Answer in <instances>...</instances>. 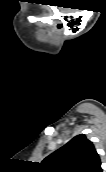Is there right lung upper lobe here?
<instances>
[{"mask_svg":"<svg viewBox=\"0 0 106 172\" xmlns=\"http://www.w3.org/2000/svg\"><path fill=\"white\" fill-rule=\"evenodd\" d=\"M41 169L45 172H103L100 157L84 134L46 157Z\"/></svg>","mask_w":106,"mask_h":172,"instance_id":"right-lung-upper-lobe-1","label":"right lung upper lobe"}]
</instances>
